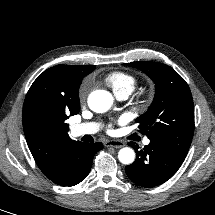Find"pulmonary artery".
Here are the masks:
<instances>
[{"mask_svg": "<svg viewBox=\"0 0 215 215\" xmlns=\"http://www.w3.org/2000/svg\"><path fill=\"white\" fill-rule=\"evenodd\" d=\"M130 94L127 92L119 93L116 95V97L119 100H126ZM100 125L95 122H89V123H81L74 125L71 128V134L74 137H80L84 135H91L96 133L99 130ZM150 143V140L148 138H145L143 140L144 145H148Z\"/></svg>", "mask_w": 215, "mask_h": 215, "instance_id": "e3ab8cb5", "label": "pulmonary artery"}]
</instances>
